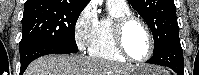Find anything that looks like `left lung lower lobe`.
<instances>
[{"instance_id":"left-lung-lower-lobe-1","label":"left lung lower lobe","mask_w":199,"mask_h":75,"mask_svg":"<svg viewBox=\"0 0 199 75\" xmlns=\"http://www.w3.org/2000/svg\"><path fill=\"white\" fill-rule=\"evenodd\" d=\"M147 63L167 66L174 70L178 75H184L183 50L180 40L163 48L153 55Z\"/></svg>"}]
</instances>
